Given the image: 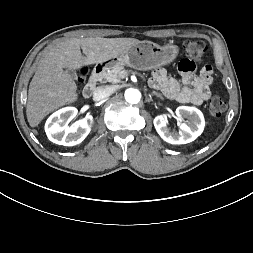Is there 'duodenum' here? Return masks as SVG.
<instances>
[{"mask_svg": "<svg viewBox=\"0 0 253 253\" xmlns=\"http://www.w3.org/2000/svg\"><path fill=\"white\" fill-rule=\"evenodd\" d=\"M104 67L103 66H97L94 71L92 72L87 84L83 88V97L84 98H90L92 93L94 92L98 81L100 80L102 74L104 73Z\"/></svg>", "mask_w": 253, "mask_h": 253, "instance_id": "obj_1", "label": "duodenum"}]
</instances>
